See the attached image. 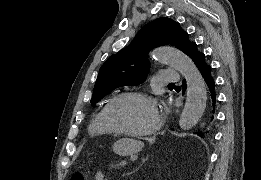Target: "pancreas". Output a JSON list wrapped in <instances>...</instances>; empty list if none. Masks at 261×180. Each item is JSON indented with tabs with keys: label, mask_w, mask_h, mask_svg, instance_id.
<instances>
[{
	"label": "pancreas",
	"mask_w": 261,
	"mask_h": 180,
	"mask_svg": "<svg viewBox=\"0 0 261 180\" xmlns=\"http://www.w3.org/2000/svg\"><path fill=\"white\" fill-rule=\"evenodd\" d=\"M118 160L117 159H111L110 162H108V169L109 170H117L118 169Z\"/></svg>",
	"instance_id": "1"
}]
</instances>
